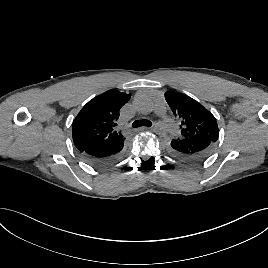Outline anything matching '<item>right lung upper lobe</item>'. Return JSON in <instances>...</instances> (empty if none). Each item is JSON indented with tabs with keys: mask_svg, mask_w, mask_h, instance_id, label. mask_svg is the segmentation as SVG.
Listing matches in <instances>:
<instances>
[{
	"mask_svg": "<svg viewBox=\"0 0 268 268\" xmlns=\"http://www.w3.org/2000/svg\"><path fill=\"white\" fill-rule=\"evenodd\" d=\"M130 95L118 90H108L90 100L73 121L72 136L78 150L108 147L124 141L115 130L121 107Z\"/></svg>",
	"mask_w": 268,
	"mask_h": 268,
	"instance_id": "cb5924a9",
	"label": "right lung upper lobe"
}]
</instances>
